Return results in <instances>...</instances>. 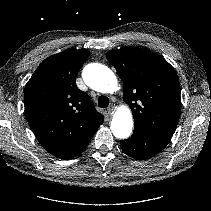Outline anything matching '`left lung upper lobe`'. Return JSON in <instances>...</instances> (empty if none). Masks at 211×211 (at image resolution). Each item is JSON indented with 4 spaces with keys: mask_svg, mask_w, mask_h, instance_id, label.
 <instances>
[{
    "mask_svg": "<svg viewBox=\"0 0 211 211\" xmlns=\"http://www.w3.org/2000/svg\"><path fill=\"white\" fill-rule=\"evenodd\" d=\"M124 84L134 131L173 135L181 112L180 83L162 57L141 49L122 48L106 54Z\"/></svg>",
    "mask_w": 211,
    "mask_h": 211,
    "instance_id": "obj_1",
    "label": "left lung upper lobe"
}]
</instances>
